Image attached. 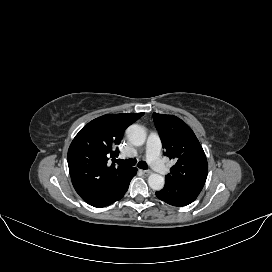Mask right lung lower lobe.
<instances>
[{
	"instance_id": "98d812e1",
	"label": "right lung lower lobe",
	"mask_w": 272,
	"mask_h": 272,
	"mask_svg": "<svg viewBox=\"0 0 272 272\" xmlns=\"http://www.w3.org/2000/svg\"><path fill=\"white\" fill-rule=\"evenodd\" d=\"M136 172V168H129L119 174L105 188L84 199V201L91 206L102 208L120 200L128 190L130 181L136 175Z\"/></svg>"
}]
</instances>
